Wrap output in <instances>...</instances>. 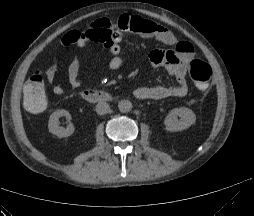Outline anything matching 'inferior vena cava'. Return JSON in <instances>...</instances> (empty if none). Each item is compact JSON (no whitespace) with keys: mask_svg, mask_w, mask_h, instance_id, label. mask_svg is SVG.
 Segmentation results:
<instances>
[{"mask_svg":"<svg viewBox=\"0 0 254 216\" xmlns=\"http://www.w3.org/2000/svg\"><path fill=\"white\" fill-rule=\"evenodd\" d=\"M96 112L99 115H104L110 112V106L104 101H100L96 105Z\"/></svg>","mask_w":254,"mask_h":216,"instance_id":"inferior-vena-cava-1","label":"inferior vena cava"}]
</instances>
